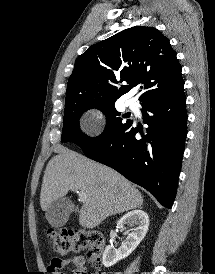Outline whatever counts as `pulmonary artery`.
Wrapping results in <instances>:
<instances>
[{"label":"pulmonary artery","instance_id":"1","mask_svg":"<svg viewBox=\"0 0 215 274\" xmlns=\"http://www.w3.org/2000/svg\"><path fill=\"white\" fill-rule=\"evenodd\" d=\"M126 104L131 110H135L137 108V103L134 99L127 100Z\"/></svg>","mask_w":215,"mask_h":274}]
</instances>
